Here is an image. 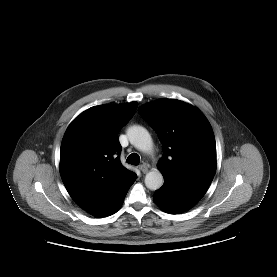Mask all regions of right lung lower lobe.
Returning a JSON list of instances; mask_svg holds the SVG:
<instances>
[{"instance_id":"98d812e1","label":"right lung lower lobe","mask_w":277,"mask_h":277,"mask_svg":"<svg viewBox=\"0 0 277 277\" xmlns=\"http://www.w3.org/2000/svg\"><path fill=\"white\" fill-rule=\"evenodd\" d=\"M137 175L134 174L127 181L124 182L114 193H112L102 204L95 208L88 210L92 216L104 217L114 214L124 201L128 189L136 180Z\"/></svg>"}]
</instances>
